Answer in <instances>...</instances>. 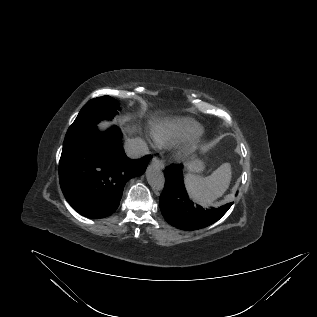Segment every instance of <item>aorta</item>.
I'll return each mask as SVG.
<instances>
[{"label": "aorta", "instance_id": "1", "mask_svg": "<svg viewBox=\"0 0 317 317\" xmlns=\"http://www.w3.org/2000/svg\"><path fill=\"white\" fill-rule=\"evenodd\" d=\"M146 177L149 185L154 190L161 191L164 188L165 177L158 164L154 163L148 166Z\"/></svg>", "mask_w": 317, "mask_h": 317}]
</instances>
